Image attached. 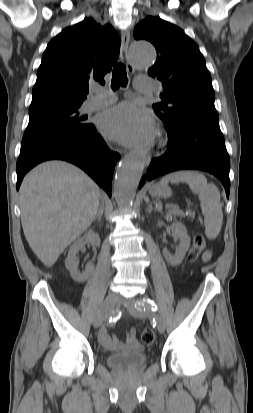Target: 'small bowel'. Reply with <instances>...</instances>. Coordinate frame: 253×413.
<instances>
[{
  "mask_svg": "<svg viewBox=\"0 0 253 413\" xmlns=\"http://www.w3.org/2000/svg\"><path fill=\"white\" fill-rule=\"evenodd\" d=\"M211 257V252L206 251L202 259L203 261L209 260ZM99 342L109 350H119L124 347V345L112 334H110L108 327H102L98 332ZM125 345L131 348H137L138 342L136 339V330L134 328L130 329L126 334Z\"/></svg>",
  "mask_w": 253,
  "mask_h": 413,
  "instance_id": "c3829d8e",
  "label": "small bowel"
}]
</instances>
